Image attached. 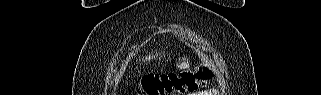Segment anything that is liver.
Masks as SVG:
<instances>
[{"label":"liver","instance_id":"obj_1","mask_svg":"<svg viewBox=\"0 0 321 95\" xmlns=\"http://www.w3.org/2000/svg\"><path fill=\"white\" fill-rule=\"evenodd\" d=\"M152 58H153V56L149 55V56H146V57H145V60L147 61V60H150V59H152Z\"/></svg>","mask_w":321,"mask_h":95}]
</instances>
